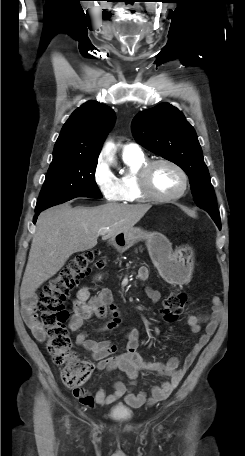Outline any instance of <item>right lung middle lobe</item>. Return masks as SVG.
<instances>
[{"instance_id":"dd1d6c3e","label":"right lung middle lobe","mask_w":245,"mask_h":456,"mask_svg":"<svg viewBox=\"0 0 245 456\" xmlns=\"http://www.w3.org/2000/svg\"><path fill=\"white\" fill-rule=\"evenodd\" d=\"M98 158H71L51 163L35 212L75 197L102 198L95 182Z\"/></svg>"}]
</instances>
